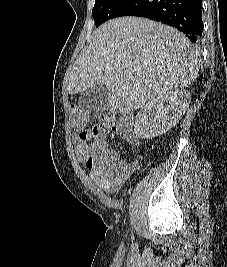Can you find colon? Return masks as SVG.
I'll list each match as a JSON object with an SVG mask.
<instances>
[{
    "instance_id": "colon-1",
    "label": "colon",
    "mask_w": 227,
    "mask_h": 267,
    "mask_svg": "<svg viewBox=\"0 0 227 267\" xmlns=\"http://www.w3.org/2000/svg\"><path fill=\"white\" fill-rule=\"evenodd\" d=\"M70 116L73 126L76 129L83 130L87 129L89 126L90 117L89 114L78 106H72L70 110ZM97 117L99 122L107 128L115 126L116 119L114 111L110 107H105L97 111ZM122 134L126 136H131L129 126L122 122L121 123Z\"/></svg>"
}]
</instances>
